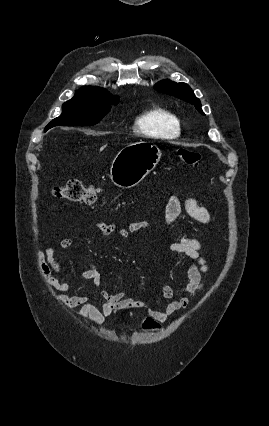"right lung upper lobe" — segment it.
Masks as SVG:
<instances>
[{
    "label": "right lung upper lobe",
    "mask_w": 269,
    "mask_h": 426,
    "mask_svg": "<svg viewBox=\"0 0 269 426\" xmlns=\"http://www.w3.org/2000/svg\"><path fill=\"white\" fill-rule=\"evenodd\" d=\"M75 96L118 99L105 89L96 86L83 87L76 92Z\"/></svg>",
    "instance_id": "cb5924a9"
}]
</instances>
